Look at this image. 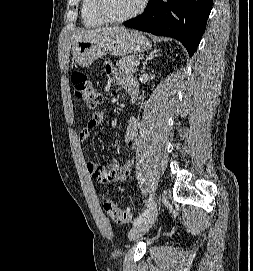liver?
Masks as SVG:
<instances>
[{"mask_svg":"<svg viewBox=\"0 0 253 271\" xmlns=\"http://www.w3.org/2000/svg\"><path fill=\"white\" fill-rule=\"evenodd\" d=\"M118 29H124L122 27H105V28H99V29H94V30H86V31H81L79 33H76L74 35V42H76L77 40H80L86 36H88L89 34L92 33H97V32H103V31H111V30H118Z\"/></svg>","mask_w":253,"mask_h":271,"instance_id":"6515ba94","label":"liver"}]
</instances>
